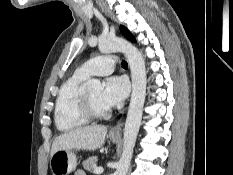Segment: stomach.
I'll return each instance as SVG.
<instances>
[{"mask_svg":"<svg viewBox=\"0 0 233 175\" xmlns=\"http://www.w3.org/2000/svg\"><path fill=\"white\" fill-rule=\"evenodd\" d=\"M113 142H116L118 136H109ZM77 158L71 150H59L55 152L50 159V168L53 175H68L76 169Z\"/></svg>","mask_w":233,"mask_h":175,"instance_id":"obj_1","label":"stomach"}]
</instances>
